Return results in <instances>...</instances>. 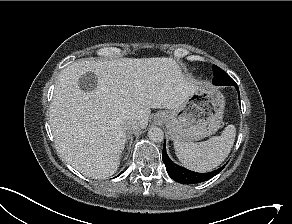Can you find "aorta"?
Listing matches in <instances>:
<instances>
[{
    "mask_svg": "<svg viewBox=\"0 0 292 224\" xmlns=\"http://www.w3.org/2000/svg\"><path fill=\"white\" fill-rule=\"evenodd\" d=\"M148 137L153 142H161L164 138V133L159 127H152L148 131Z\"/></svg>",
    "mask_w": 292,
    "mask_h": 224,
    "instance_id": "1",
    "label": "aorta"
}]
</instances>
